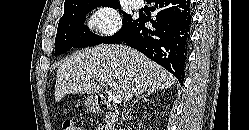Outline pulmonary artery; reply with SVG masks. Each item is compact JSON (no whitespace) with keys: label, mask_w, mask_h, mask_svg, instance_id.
Here are the masks:
<instances>
[{"label":"pulmonary artery","mask_w":249,"mask_h":130,"mask_svg":"<svg viewBox=\"0 0 249 130\" xmlns=\"http://www.w3.org/2000/svg\"><path fill=\"white\" fill-rule=\"evenodd\" d=\"M135 8H141L144 5V0H132Z\"/></svg>","instance_id":"pulmonary-artery-1"}]
</instances>
